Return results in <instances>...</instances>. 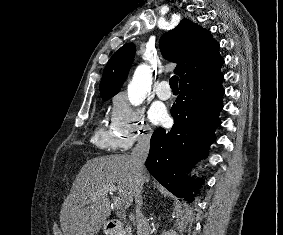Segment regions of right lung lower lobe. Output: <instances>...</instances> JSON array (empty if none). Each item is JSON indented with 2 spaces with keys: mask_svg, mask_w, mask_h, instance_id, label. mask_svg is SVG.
<instances>
[{
  "mask_svg": "<svg viewBox=\"0 0 283 235\" xmlns=\"http://www.w3.org/2000/svg\"><path fill=\"white\" fill-rule=\"evenodd\" d=\"M222 79L218 70L181 84L171 108L175 124L169 132L159 128L151 137L147 169L170 192L188 202L195 196L193 188L198 189L203 180L190 178L185 172L207 157L209 145L215 140V129L221 124Z\"/></svg>",
  "mask_w": 283,
  "mask_h": 235,
  "instance_id": "1",
  "label": "right lung lower lobe"
}]
</instances>
